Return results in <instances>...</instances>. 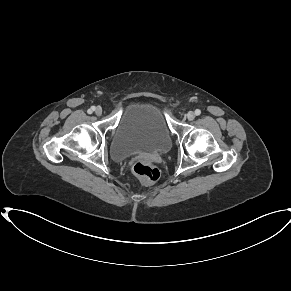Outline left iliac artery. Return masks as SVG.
I'll return each mask as SVG.
<instances>
[{
	"label": "left iliac artery",
	"mask_w": 291,
	"mask_h": 291,
	"mask_svg": "<svg viewBox=\"0 0 291 291\" xmlns=\"http://www.w3.org/2000/svg\"><path fill=\"white\" fill-rule=\"evenodd\" d=\"M200 114H201V110L196 109V110H195V115L198 116V115H200Z\"/></svg>",
	"instance_id": "44dca946"
}]
</instances>
